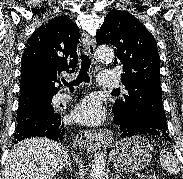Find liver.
<instances>
[{
  "mask_svg": "<svg viewBox=\"0 0 183 179\" xmlns=\"http://www.w3.org/2000/svg\"><path fill=\"white\" fill-rule=\"evenodd\" d=\"M68 162V152L47 138H29L9 152L3 179H53Z\"/></svg>",
  "mask_w": 183,
  "mask_h": 179,
  "instance_id": "1",
  "label": "liver"
}]
</instances>
